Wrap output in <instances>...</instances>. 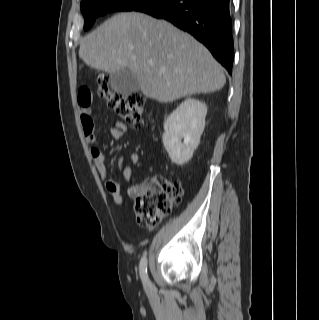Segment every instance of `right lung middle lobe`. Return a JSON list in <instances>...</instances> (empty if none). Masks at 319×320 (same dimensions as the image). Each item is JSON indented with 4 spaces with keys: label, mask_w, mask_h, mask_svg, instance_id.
<instances>
[{
    "label": "right lung middle lobe",
    "mask_w": 319,
    "mask_h": 320,
    "mask_svg": "<svg viewBox=\"0 0 319 320\" xmlns=\"http://www.w3.org/2000/svg\"><path fill=\"white\" fill-rule=\"evenodd\" d=\"M156 0H82L84 30L89 29L98 16L113 11H137L140 7Z\"/></svg>",
    "instance_id": "obj_1"
}]
</instances>
